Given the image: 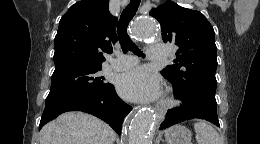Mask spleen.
<instances>
[{
	"label": "spleen",
	"instance_id": "1",
	"mask_svg": "<svg viewBox=\"0 0 260 144\" xmlns=\"http://www.w3.org/2000/svg\"><path fill=\"white\" fill-rule=\"evenodd\" d=\"M197 144H223L218 132L208 123L198 121L194 123Z\"/></svg>",
	"mask_w": 260,
	"mask_h": 144
}]
</instances>
